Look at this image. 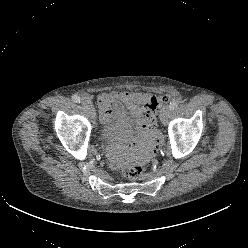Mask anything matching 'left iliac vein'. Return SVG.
<instances>
[{"instance_id": "obj_1", "label": "left iliac vein", "mask_w": 248, "mask_h": 248, "mask_svg": "<svg viewBox=\"0 0 248 248\" xmlns=\"http://www.w3.org/2000/svg\"><path fill=\"white\" fill-rule=\"evenodd\" d=\"M170 105H165L161 111H160V119L162 121L163 124H166L167 123V119H168V116H169V113H170Z\"/></svg>"}]
</instances>
